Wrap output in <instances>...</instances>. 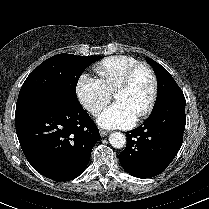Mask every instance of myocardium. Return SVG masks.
I'll list each match as a JSON object with an SVG mask.
<instances>
[{"instance_id": "obj_1", "label": "myocardium", "mask_w": 209, "mask_h": 209, "mask_svg": "<svg viewBox=\"0 0 209 209\" xmlns=\"http://www.w3.org/2000/svg\"><path fill=\"white\" fill-rule=\"evenodd\" d=\"M142 70L146 71L152 79V94H151V97H150V100H149L147 106L137 116L138 121L146 118L152 112V110L156 104V101L158 98V92H159V81H158V77H157L155 71L149 65H147L145 63H139L138 65L134 66L133 68H131L127 72V74L119 82V84L117 85V87L114 90V96H115V94L117 92L128 88L131 85L136 74Z\"/></svg>"}]
</instances>
